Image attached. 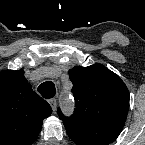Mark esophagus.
Here are the masks:
<instances>
[{"mask_svg": "<svg viewBox=\"0 0 145 145\" xmlns=\"http://www.w3.org/2000/svg\"><path fill=\"white\" fill-rule=\"evenodd\" d=\"M49 104L51 105V108L53 111H56V108H57V101L55 98H51L49 100Z\"/></svg>", "mask_w": 145, "mask_h": 145, "instance_id": "34e87169", "label": "esophagus"}]
</instances>
